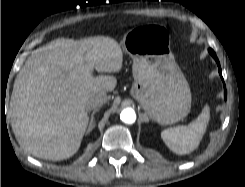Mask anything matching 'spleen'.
<instances>
[{
    "instance_id": "spleen-1",
    "label": "spleen",
    "mask_w": 245,
    "mask_h": 187,
    "mask_svg": "<svg viewBox=\"0 0 245 187\" xmlns=\"http://www.w3.org/2000/svg\"><path fill=\"white\" fill-rule=\"evenodd\" d=\"M210 119V107L205 105L198 117L185 126L163 130L161 138L167 147L176 154H189L195 150L206 132Z\"/></svg>"
}]
</instances>
